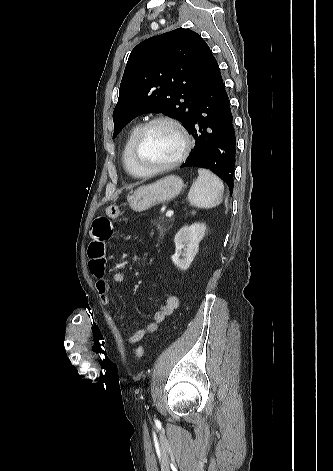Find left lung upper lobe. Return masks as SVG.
Instances as JSON below:
<instances>
[{
    "label": "left lung upper lobe",
    "mask_w": 333,
    "mask_h": 471,
    "mask_svg": "<svg viewBox=\"0 0 333 471\" xmlns=\"http://www.w3.org/2000/svg\"><path fill=\"white\" fill-rule=\"evenodd\" d=\"M215 65L209 46L188 29L139 43L129 56L120 84L113 138L131 120L150 112L175 118L187 128Z\"/></svg>",
    "instance_id": "left-lung-upper-lobe-1"
}]
</instances>
